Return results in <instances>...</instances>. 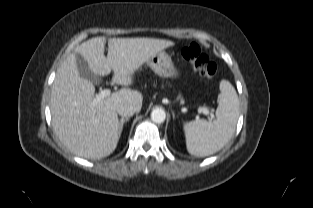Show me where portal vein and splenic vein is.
<instances>
[{
    "label": "portal vein and splenic vein",
    "mask_w": 313,
    "mask_h": 208,
    "mask_svg": "<svg viewBox=\"0 0 313 208\" xmlns=\"http://www.w3.org/2000/svg\"><path fill=\"white\" fill-rule=\"evenodd\" d=\"M110 95H111L110 89L101 90L99 95H97L96 98L94 99V104H97L99 101H101L102 99H104L105 97H108ZM199 111L204 113L205 115H207L209 113L208 109L204 108V107H200Z\"/></svg>",
    "instance_id": "1"
}]
</instances>
